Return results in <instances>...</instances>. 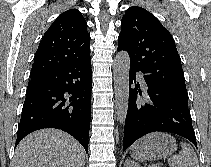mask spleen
<instances>
[{
  "mask_svg": "<svg viewBox=\"0 0 211 167\" xmlns=\"http://www.w3.org/2000/svg\"><path fill=\"white\" fill-rule=\"evenodd\" d=\"M182 150L179 154L168 159L170 167H199V162L194 149L187 143H181Z\"/></svg>",
  "mask_w": 211,
  "mask_h": 167,
  "instance_id": "3e777b00",
  "label": "spleen"
}]
</instances>
